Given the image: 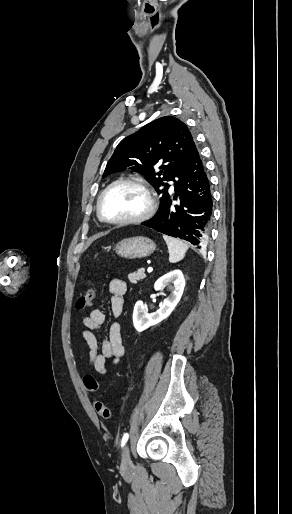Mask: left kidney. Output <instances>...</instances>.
Segmentation results:
<instances>
[{"label": "left kidney", "instance_id": "1", "mask_svg": "<svg viewBox=\"0 0 292 514\" xmlns=\"http://www.w3.org/2000/svg\"><path fill=\"white\" fill-rule=\"evenodd\" d=\"M168 284H173V286H168ZM165 286H168V290H171V296L164 300L162 306L154 314H148V308L144 306L143 302H136L133 310V324L137 332H143L150 326L159 324L173 312L175 306L180 302L185 288V280L181 270H173V272L159 278L154 284V290L158 292V290H163ZM161 296H164L162 292Z\"/></svg>", "mask_w": 292, "mask_h": 514}]
</instances>
